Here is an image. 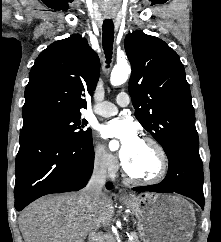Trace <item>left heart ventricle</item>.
Instances as JSON below:
<instances>
[{
    "instance_id": "1",
    "label": "left heart ventricle",
    "mask_w": 221,
    "mask_h": 242,
    "mask_svg": "<svg viewBox=\"0 0 221 242\" xmlns=\"http://www.w3.org/2000/svg\"><path fill=\"white\" fill-rule=\"evenodd\" d=\"M125 164L131 173L141 177H150L158 169V159L153 148L142 141Z\"/></svg>"
}]
</instances>
